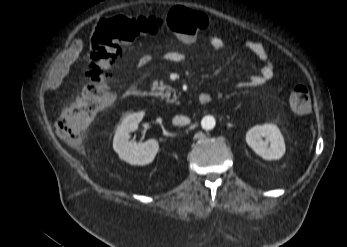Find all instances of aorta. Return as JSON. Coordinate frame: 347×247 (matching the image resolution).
I'll list each match as a JSON object with an SVG mask.
<instances>
[{"label":"aorta","mask_w":347,"mask_h":247,"mask_svg":"<svg viewBox=\"0 0 347 247\" xmlns=\"http://www.w3.org/2000/svg\"><path fill=\"white\" fill-rule=\"evenodd\" d=\"M215 118L211 115L205 116L201 121V126L204 130H211L215 127Z\"/></svg>","instance_id":"aorta-1"}]
</instances>
